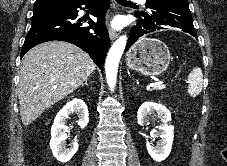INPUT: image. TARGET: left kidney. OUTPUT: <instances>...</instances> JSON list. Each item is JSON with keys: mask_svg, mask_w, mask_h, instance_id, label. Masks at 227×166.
<instances>
[{"mask_svg": "<svg viewBox=\"0 0 227 166\" xmlns=\"http://www.w3.org/2000/svg\"><path fill=\"white\" fill-rule=\"evenodd\" d=\"M155 112L162 123L159 127L161 140L156 146L147 141L146 146L152 159L161 162L169 156L174 139V126L170 125V111L162 104L147 101L140 106L137 120L139 125L145 126L149 123V117Z\"/></svg>", "mask_w": 227, "mask_h": 166, "instance_id": "left-kidney-1", "label": "left kidney"}]
</instances>
